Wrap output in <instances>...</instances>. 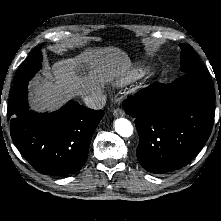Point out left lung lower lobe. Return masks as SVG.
Instances as JSON below:
<instances>
[{
  "label": "left lung lower lobe",
  "instance_id": "left-lung-lower-lobe-1",
  "mask_svg": "<svg viewBox=\"0 0 221 221\" xmlns=\"http://www.w3.org/2000/svg\"><path fill=\"white\" fill-rule=\"evenodd\" d=\"M215 90L206 75L185 73L170 84L154 83L123 103L139 134L137 159L162 174L186 166L209 138Z\"/></svg>",
  "mask_w": 221,
  "mask_h": 221
}]
</instances>
